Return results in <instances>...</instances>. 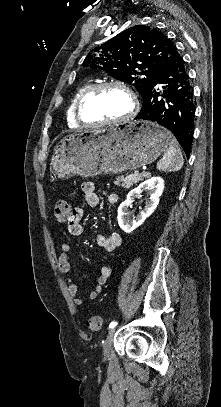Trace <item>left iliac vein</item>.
Segmentation results:
<instances>
[{"mask_svg": "<svg viewBox=\"0 0 221 407\" xmlns=\"http://www.w3.org/2000/svg\"><path fill=\"white\" fill-rule=\"evenodd\" d=\"M116 328H111L108 332V335L106 337V340L103 344V354L104 357H108L110 354V350H111V345H112V341H113V337L115 334Z\"/></svg>", "mask_w": 221, "mask_h": 407, "instance_id": "left-iliac-vein-1", "label": "left iliac vein"}]
</instances>
